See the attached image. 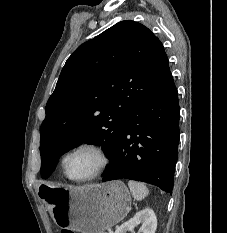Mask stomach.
I'll use <instances>...</instances> for the list:
<instances>
[{
    "instance_id": "obj_1",
    "label": "stomach",
    "mask_w": 227,
    "mask_h": 233,
    "mask_svg": "<svg viewBox=\"0 0 227 233\" xmlns=\"http://www.w3.org/2000/svg\"><path fill=\"white\" fill-rule=\"evenodd\" d=\"M44 199L55 223L81 233H104L123 220L131 209V195L121 181L82 189L44 184Z\"/></svg>"
}]
</instances>
